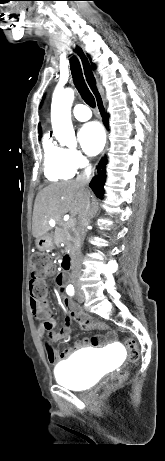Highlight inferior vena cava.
<instances>
[{
  "mask_svg": "<svg viewBox=\"0 0 165 461\" xmlns=\"http://www.w3.org/2000/svg\"><path fill=\"white\" fill-rule=\"evenodd\" d=\"M91 174V166L85 169V172L77 178V182L80 186L86 190V198L84 208L81 214L78 217V225H77V247L75 257L72 263V279L77 280L81 274V252L80 246L85 236V231L87 226L89 225L90 218L92 216V211L90 207V192L87 189V185L89 183Z\"/></svg>",
  "mask_w": 165,
  "mask_h": 461,
  "instance_id": "inferior-vena-cava-1",
  "label": "inferior vena cava"
}]
</instances>
